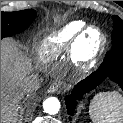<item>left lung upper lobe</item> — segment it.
Wrapping results in <instances>:
<instances>
[{
	"instance_id": "obj_1",
	"label": "left lung upper lobe",
	"mask_w": 123,
	"mask_h": 123,
	"mask_svg": "<svg viewBox=\"0 0 123 123\" xmlns=\"http://www.w3.org/2000/svg\"><path fill=\"white\" fill-rule=\"evenodd\" d=\"M112 49L107 52L103 63L108 66L123 65V20L113 16Z\"/></svg>"
}]
</instances>
